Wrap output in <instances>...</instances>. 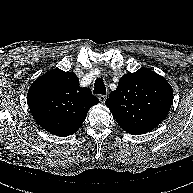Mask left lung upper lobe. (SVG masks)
Wrapping results in <instances>:
<instances>
[{
    "label": "left lung upper lobe",
    "instance_id": "left-lung-upper-lobe-1",
    "mask_svg": "<svg viewBox=\"0 0 193 193\" xmlns=\"http://www.w3.org/2000/svg\"><path fill=\"white\" fill-rule=\"evenodd\" d=\"M173 102V89L162 76L141 68L124 74L105 105L119 126L132 135L144 134L158 126Z\"/></svg>",
    "mask_w": 193,
    "mask_h": 193
}]
</instances>
